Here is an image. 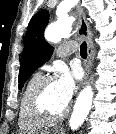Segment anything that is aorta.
<instances>
[{
  "label": "aorta",
  "mask_w": 116,
  "mask_h": 134,
  "mask_svg": "<svg viewBox=\"0 0 116 134\" xmlns=\"http://www.w3.org/2000/svg\"><path fill=\"white\" fill-rule=\"evenodd\" d=\"M73 20L70 17L62 18L50 25L45 31V38L48 42L57 43L66 38L72 31ZM93 91L91 86H86L77 97L73 112L69 121L72 130L79 128L92 106Z\"/></svg>",
  "instance_id": "aorta-1"
}]
</instances>
